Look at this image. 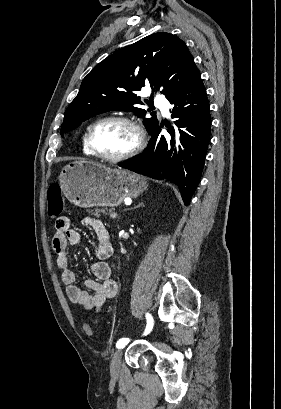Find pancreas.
<instances>
[{"label":"pancreas","instance_id":"obj_1","mask_svg":"<svg viewBox=\"0 0 281 409\" xmlns=\"http://www.w3.org/2000/svg\"><path fill=\"white\" fill-rule=\"evenodd\" d=\"M100 213H104V215H109V213H105V209H96V213H93L95 217H100Z\"/></svg>","mask_w":281,"mask_h":409}]
</instances>
